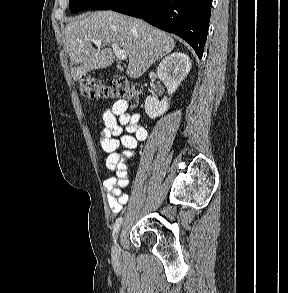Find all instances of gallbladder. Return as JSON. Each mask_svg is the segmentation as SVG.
I'll return each instance as SVG.
<instances>
[{
	"label": "gallbladder",
	"mask_w": 288,
	"mask_h": 293,
	"mask_svg": "<svg viewBox=\"0 0 288 293\" xmlns=\"http://www.w3.org/2000/svg\"><path fill=\"white\" fill-rule=\"evenodd\" d=\"M118 70H119V71H122V70H123V68H122V67H118Z\"/></svg>",
	"instance_id": "bac80fb5"
}]
</instances>
